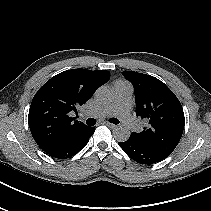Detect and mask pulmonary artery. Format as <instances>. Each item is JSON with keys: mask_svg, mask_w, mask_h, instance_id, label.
I'll list each match as a JSON object with an SVG mask.
<instances>
[{"mask_svg": "<svg viewBox=\"0 0 211 211\" xmlns=\"http://www.w3.org/2000/svg\"><path fill=\"white\" fill-rule=\"evenodd\" d=\"M113 100L92 114H86L97 118L118 117L129 129H136L137 123L131 114L133 87L125 81H118L113 86Z\"/></svg>", "mask_w": 211, "mask_h": 211, "instance_id": "pulmonary-artery-1", "label": "pulmonary artery"}]
</instances>
